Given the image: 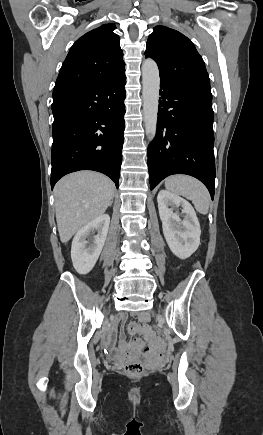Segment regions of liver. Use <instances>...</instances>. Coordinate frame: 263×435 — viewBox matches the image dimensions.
<instances>
[{"mask_svg": "<svg viewBox=\"0 0 263 435\" xmlns=\"http://www.w3.org/2000/svg\"><path fill=\"white\" fill-rule=\"evenodd\" d=\"M115 185L106 176L79 171L59 180L54 188L56 221L60 240L68 242L80 228L112 204Z\"/></svg>", "mask_w": 263, "mask_h": 435, "instance_id": "obj_1", "label": "liver"}]
</instances>
